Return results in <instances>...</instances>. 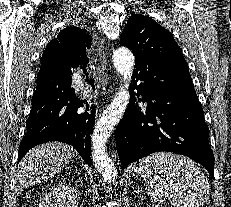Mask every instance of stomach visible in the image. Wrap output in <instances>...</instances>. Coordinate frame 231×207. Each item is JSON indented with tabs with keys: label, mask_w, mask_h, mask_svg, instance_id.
Instances as JSON below:
<instances>
[{
	"label": "stomach",
	"mask_w": 231,
	"mask_h": 207,
	"mask_svg": "<svg viewBox=\"0 0 231 207\" xmlns=\"http://www.w3.org/2000/svg\"><path fill=\"white\" fill-rule=\"evenodd\" d=\"M134 173H135V174H138V169H137V170H134Z\"/></svg>",
	"instance_id": "0dacf381"
}]
</instances>
